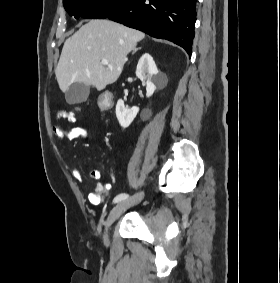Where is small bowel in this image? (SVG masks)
I'll use <instances>...</instances> for the list:
<instances>
[{"label": "small bowel", "instance_id": "obj_1", "mask_svg": "<svg viewBox=\"0 0 280 283\" xmlns=\"http://www.w3.org/2000/svg\"><path fill=\"white\" fill-rule=\"evenodd\" d=\"M59 116L61 118L67 119L68 121L74 120L73 112L68 111V110L60 111ZM52 133L58 139H62L65 137L69 140H83V139H86L88 136L87 131L83 127H80V126H72L68 129H63L60 126H54L52 129ZM71 173L73 177L77 179L81 178L82 176L81 171L77 167H74L71 170ZM89 177L93 180L98 181L101 178V172L99 170H91L89 172ZM111 189H112L111 183L98 182L95 186L94 191L91 192L89 195V201L94 205H99Z\"/></svg>", "mask_w": 280, "mask_h": 283}]
</instances>
